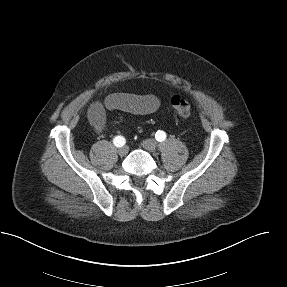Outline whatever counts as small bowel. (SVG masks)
I'll return each mask as SVG.
<instances>
[{"mask_svg":"<svg viewBox=\"0 0 287 287\" xmlns=\"http://www.w3.org/2000/svg\"><path fill=\"white\" fill-rule=\"evenodd\" d=\"M161 102L155 95H137L130 93H114L103 102H93L88 109V120L97 134L106 131L107 111H123L135 115H147L160 108Z\"/></svg>","mask_w":287,"mask_h":287,"instance_id":"c3829d8e","label":"small bowel"}]
</instances>
